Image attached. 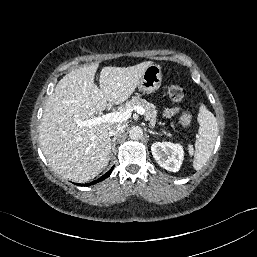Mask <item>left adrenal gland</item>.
Here are the masks:
<instances>
[{
    "label": "left adrenal gland",
    "instance_id": "obj_1",
    "mask_svg": "<svg viewBox=\"0 0 257 257\" xmlns=\"http://www.w3.org/2000/svg\"><path fill=\"white\" fill-rule=\"evenodd\" d=\"M148 132H149L150 134L160 135L158 132H154V131H152V130H150V129H148Z\"/></svg>",
    "mask_w": 257,
    "mask_h": 257
}]
</instances>
